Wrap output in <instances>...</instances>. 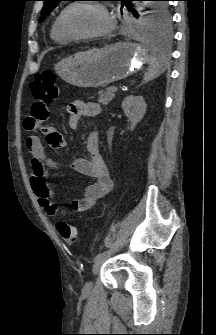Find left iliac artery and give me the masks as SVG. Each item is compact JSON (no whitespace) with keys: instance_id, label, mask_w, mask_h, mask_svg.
I'll return each mask as SVG.
<instances>
[{"instance_id":"left-iliac-artery-1","label":"left iliac artery","mask_w":216,"mask_h":335,"mask_svg":"<svg viewBox=\"0 0 216 335\" xmlns=\"http://www.w3.org/2000/svg\"><path fill=\"white\" fill-rule=\"evenodd\" d=\"M113 252L112 249H107V250H104L102 252H100L99 254H97L94 258V261H97L99 259H103L105 258L106 256L110 255L111 253Z\"/></svg>"}]
</instances>
